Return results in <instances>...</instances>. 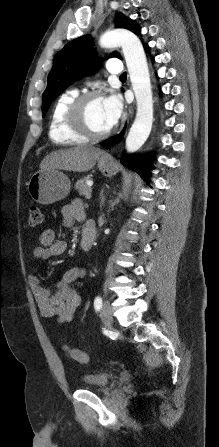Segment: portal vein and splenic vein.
Here are the masks:
<instances>
[{
	"instance_id": "obj_1",
	"label": "portal vein and splenic vein",
	"mask_w": 219,
	"mask_h": 447,
	"mask_svg": "<svg viewBox=\"0 0 219 447\" xmlns=\"http://www.w3.org/2000/svg\"><path fill=\"white\" fill-rule=\"evenodd\" d=\"M93 182L92 181H88L87 185L92 186ZM91 198V193H87L86 194V199H90Z\"/></svg>"
}]
</instances>
